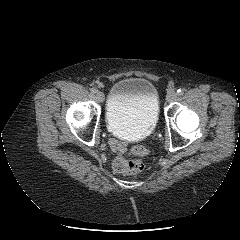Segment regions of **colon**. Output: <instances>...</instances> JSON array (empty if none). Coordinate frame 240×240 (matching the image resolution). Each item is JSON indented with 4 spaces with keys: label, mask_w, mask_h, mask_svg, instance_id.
<instances>
[{
    "label": "colon",
    "mask_w": 240,
    "mask_h": 240,
    "mask_svg": "<svg viewBox=\"0 0 240 240\" xmlns=\"http://www.w3.org/2000/svg\"><path fill=\"white\" fill-rule=\"evenodd\" d=\"M136 155H145L146 150L138 147L133 150ZM113 167L115 171L123 174H137L144 169V163L141 159H127L123 156L114 160Z\"/></svg>",
    "instance_id": "obj_1"
}]
</instances>
